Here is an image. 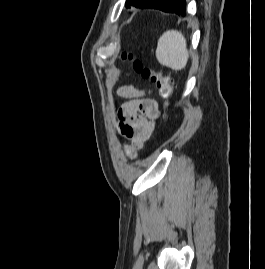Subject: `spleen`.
<instances>
[{
	"label": "spleen",
	"mask_w": 265,
	"mask_h": 269,
	"mask_svg": "<svg viewBox=\"0 0 265 269\" xmlns=\"http://www.w3.org/2000/svg\"><path fill=\"white\" fill-rule=\"evenodd\" d=\"M156 58L159 63L174 71L185 68L189 54L184 35L177 30H169L159 38Z\"/></svg>",
	"instance_id": "3e777b00"
}]
</instances>
